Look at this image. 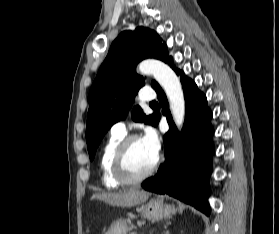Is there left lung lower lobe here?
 Segmentation results:
<instances>
[{
  "instance_id": "obj_1",
  "label": "left lung lower lobe",
  "mask_w": 279,
  "mask_h": 234,
  "mask_svg": "<svg viewBox=\"0 0 279 234\" xmlns=\"http://www.w3.org/2000/svg\"><path fill=\"white\" fill-rule=\"evenodd\" d=\"M167 64L177 75H181L186 106L185 122L180 134L168 109L166 95L160 86L154 88L170 129L164 135L165 163L142 186L148 191L173 196L209 215L208 180L214 153L212 112L207 106L206 96L197 89L193 80L173 66L172 57ZM159 119L160 115L158 122Z\"/></svg>"
}]
</instances>
